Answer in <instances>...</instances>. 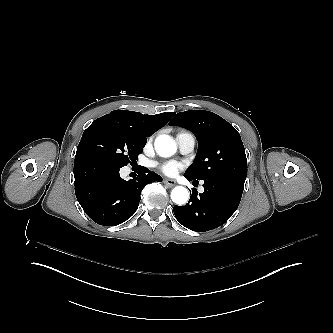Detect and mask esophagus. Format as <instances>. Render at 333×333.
Returning a JSON list of instances; mask_svg holds the SVG:
<instances>
[{
	"label": "esophagus",
	"instance_id": "obj_1",
	"mask_svg": "<svg viewBox=\"0 0 333 333\" xmlns=\"http://www.w3.org/2000/svg\"><path fill=\"white\" fill-rule=\"evenodd\" d=\"M164 183L169 185L170 187H173V186L176 185V180H174V179H165Z\"/></svg>",
	"mask_w": 333,
	"mask_h": 333
}]
</instances>
